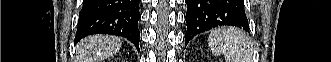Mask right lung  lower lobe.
Here are the masks:
<instances>
[{
	"mask_svg": "<svg viewBox=\"0 0 331 62\" xmlns=\"http://www.w3.org/2000/svg\"><path fill=\"white\" fill-rule=\"evenodd\" d=\"M141 0H84L75 43L91 34H111L130 40L139 50Z\"/></svg>",
	"mask_w": 331,
	"mask_h": 62,
	"instance_id": "98d812e1",
	"label": "right lung lower lobe"
}]
</instances>
